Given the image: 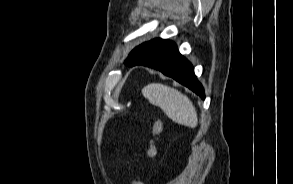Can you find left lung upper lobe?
Here are the masks:
<instances>
[{
  "label": "left lung upper lobe",
  "mask_w": 293,
  "mask_h": 184,
  "mask_svg": "<svg viewBox=\"0 0 293 184\" xmlns=\"http://www.w3.org/2000/svg\"><path fill=\"white\" fill-rule=\"evenodd\" d=\"M146 44L147 42L137 46L131 53L129 54L128 58L125 60V65L127 66H133L137 64L140 60H144L145 58H148V53L146 50Z\"/></svg>",
  "instance_id": "left-lung-upper-lobe-1"
}]
</instances>
